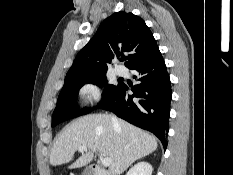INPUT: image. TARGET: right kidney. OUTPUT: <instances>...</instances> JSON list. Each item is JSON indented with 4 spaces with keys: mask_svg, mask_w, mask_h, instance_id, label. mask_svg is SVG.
I'll return each mask as SVG.
<instances>
[{
    "mask_svg": "<svg viewBox=\"0 0 233 175\" xmlns=\"http://www.w3.org/2000/svg\"><path fill=\"white\" fill-rule=\"evenodd\" d=\"M153 168L148 162H139L135 164L126 175H152Z\"/></svg>",
    "mask_w": 233,
    "mask_h": 175,
    "instance_id": "1",
    "label": "right kidney"
}]
</instances>
